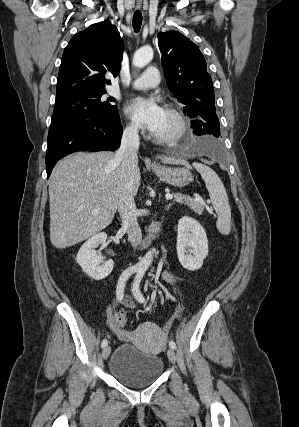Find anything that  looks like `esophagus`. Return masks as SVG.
<instances>
[{"mask_svg": "<svg viewBox=\"0 0 299 427\" xmlns=\"http://www.w3.org/2000/svg\"><path fill=\"white\" fill-rule=\"evenodd\" d=\"M137 7L140 8V4H138Z\"/></svg>", "mask_w": 299, "mask_h": 427, "instance_id": "34e87169", "label": "esophagus"}]
</instances>
